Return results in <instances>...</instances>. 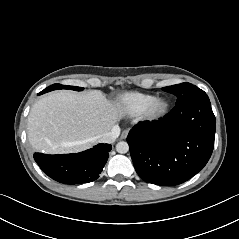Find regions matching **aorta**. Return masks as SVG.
I'll return each instance as SVG.
<instances>
[{"label": "aorta", "mask_w": 239, "mask_h": 239, "mask_svg": "<svg viewBox=\"0 0 239 239\" xmlns=\"http://www.w3.org/2000/svg\"><path fill=\"white\" fill-rule=\"evenodd\" d=\"M116 150L121 154L127 153L129 151V145L125 141L118 142L116 145Z\"/></svg>", "instance_id": "aorta-1"}]
</instances>
